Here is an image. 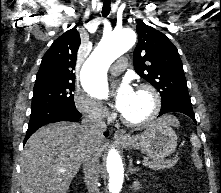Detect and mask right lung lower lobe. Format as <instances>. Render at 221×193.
Masks as SVG:
<instances>
[{"label": "right lung lower lobe", "mask_w": 221, "mask_h": 193, "mask_svg": "<svg viewBox=\"0 0 221 193\" xmlns=\"http://www.w3.org/2000/svg\"><path fill=\"white\" fill-rule=\"evenodd\" d=\"M81 116L82 114H80L76 108L59 105L43 107L39 110L31 111L30 121L24 139V144L27 139L43 125L59 121L77 122L81 118ZM104 134L105 136L108 135L107 132H105Z\"/></svg>", "instance_id": "98d812e1"}]
</instances>
